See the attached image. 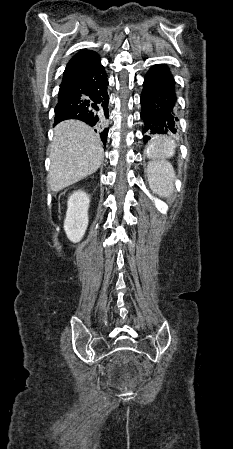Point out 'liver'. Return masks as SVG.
I'll return each instance as SVG.
<instances>
[{"label": "liver", "mask_w": 233, "mask_h": 449, "mask_svg": "<svg viewBox=\"0 0 233 449\" xmlns=\"http://www.w3.org/2000/svg\"><path fill=\"white\" fill-rule=\"evenodd\" d=\"M103 158V145L90 126L79 120L63 121L54 129L47 184L58 192L96 172Z\"/></svg>", "instance_id": "6515ba94"}]
</instances>
